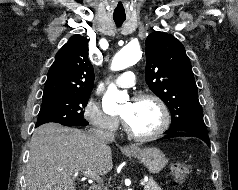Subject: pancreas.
<instances>
[{
    "label": "pancreas",
    "instance_id": "cf45deb5",
    "mask_svg": "<svg viewBox=\"0 0 238 190\" xmlns=\"http://www.w3.org/2000/svg\"><path fill=\"white\" fill-rule=\"evenodd\" d=\"M99 190H107V189L103 188ZM144 190H162V189L153 179H149L148 183L144 186Z\"/></svg>",
    "mask_w": 238,
    "mask_h": 190
}]
</instances>
